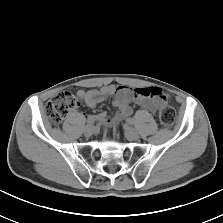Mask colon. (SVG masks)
Wrapping results in <instances>:
<instances>
[{"label":"colon","mask_w":223,"mask_h":223,"mask_svg":"<svg viewBox=\"0 0 223 223\" xmlns=\"http://www.w3.org/2000/svg\"><path fill=\"white\" fill-rule=\"evenodd\" d=\"M78 104V100L71 92L61 91L46 103L45 112L54 124H60ZM158 119L164 127H171L175 123L176 112L170 105L164 104L159 110Z\"/></svg>","instance_id":"colon-1"}]
</instances>
